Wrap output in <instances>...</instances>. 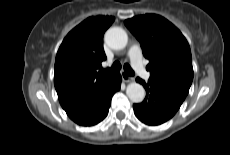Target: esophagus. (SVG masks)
<instances>
[{"label":"esophagus","instance_id":"esophagus-1","mask_svg":"<svg viewBox=\"0 0 230 155\" xmlns=\"http://www.w3.org/2000/svg\"><path fill=\"white\" fill-rule=\"evenodd\" d=\"M121 75H122V79H123L125 82H132V81H134V78L128 76L126 73H121Z\"/></svg>","mask_w":230,"mask_h":155}]
</instances>
